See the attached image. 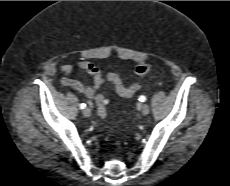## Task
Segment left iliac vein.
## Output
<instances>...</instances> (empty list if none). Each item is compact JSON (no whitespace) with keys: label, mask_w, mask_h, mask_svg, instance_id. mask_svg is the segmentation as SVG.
<instances>
[{"label":"left iliac vein","mask_w":230,"mask_h":186,"mask_svg":"<svg viewBox=\"0 0 230 186\" xmlns=\"http://www.w3.org/2000/svg\"><path fill=\"white\" fill-rule=\"evenodd\" d=\"M139 108H140V110H141V112H142V114L143 115H148V113H149V111H150V108H149V106L147 105V104H140L139 105Z\"/></svg>","instance_id":"left-iliac-vein-1"}]
</instances>
